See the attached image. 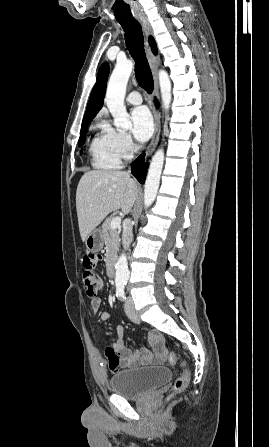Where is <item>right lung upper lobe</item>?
Segmentation results:
<instances>
[{
  "instance_id": "right-lung-upper-lobe-1",
  "label": "right lung upper lobe",
  "mask_w": 269,
  "mask_h": 447,
  "mask_svg": "<svg viewBox=\"0 0 269 447\" xmlns=\"http://www.w3.org/2000/svg\"><path fill=\"white\" fill-rule=\"evenodd\" d=\"M149 43L152 46V51L157 52L155 41L152 37L149 38ZM109 75V65L104 63L99 71L97 83L95 84L90 100L88 102L87 110L83 118L82 125L88 124L96 116L103 105V98L106 92V83Z\"/></svg>"
}]
</instances>
